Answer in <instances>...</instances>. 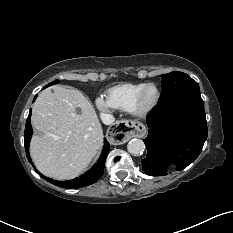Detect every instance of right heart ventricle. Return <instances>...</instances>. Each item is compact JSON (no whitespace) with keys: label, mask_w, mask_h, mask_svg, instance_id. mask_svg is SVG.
Masks as SVG:
<instances>
[{"label":"right heart ventricle","mask_w":233,"mask_h":233,"mask_svg":"<svg viewBox=\"0 0 233 233\" xmlns=\"http://www.w3.org/2000/svg\"><path fill=\"white\" fill-rule=\"evenodd\" d=\"M145 83H122L106 91V100L112 108L131 111L138 91Z\"/></svg>","instance_id":"obj_1"}]
</instances>
